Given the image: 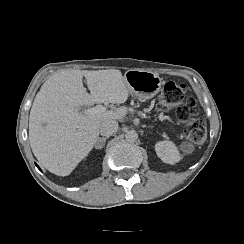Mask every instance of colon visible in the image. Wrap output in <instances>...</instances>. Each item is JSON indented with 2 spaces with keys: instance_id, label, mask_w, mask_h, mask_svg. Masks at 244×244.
<instances>
[{
  "instance_id": "colon-1",
  "label": "colon",
  "mask_w": 244,
  "mask_h": 244,
  "mask_svg": "<svg viewBox=\"0 0 244 244\" xmlns=\"http://www.w3.org/2000/svg\"><path fill=\"white\" fill-rule=\"evenodd\" d=\"M187 91L188 86L184 82H166L157 109L162 115L174 113L184 122L188 139L194 144H200L206 139L207 126L199 113L197 102L186 95Z\"/></svg>"
}]
</instances>
